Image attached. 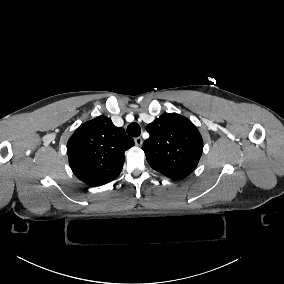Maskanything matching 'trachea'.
<instances>
[{"instance_id":"trachea-1","label":"trachea","mask_w":284,"mask_h":284,"mask_svg":"<svg viewBox=\"0 0 284 284\" xmlns=\"http://www.w3.org/2000/svg\"><path fill=\"white\" fill-rule=\"evenodd\" d=\"M126 132L132 137H138L141 134V128L138 123L133 122L128 125Z\"/></svg>"}]
</instances>
